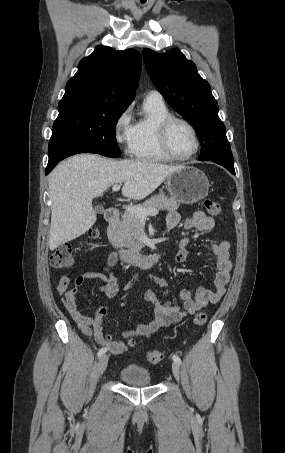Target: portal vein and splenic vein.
I'll return each instance as SVG.
<instances>
[{"label":"portal vein and splenic vein","mask_w":285,"mask_h":453,"mask_svg":"<svg viewBox=\"0 0 285 453\" xmlns=\"http://www.w3.org/2000/svg\"><path fill=\"white\" fill-rule=\"evenodd\" d=\"M113 191L120 190V185L115 184L112 187ZM125 209L133 214L138 215L140 218H146L147 216H155L158 214V210L156 209H143L138 206H125Z\"/></svg>","instance_id":"18ae733b"}]
</instances>
